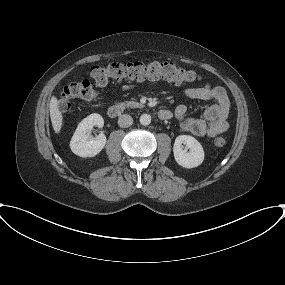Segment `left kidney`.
Listing matches in <instances>:
<instances>
[{
    "instance_id": "obj_1",
    "label": "left kidney",
    "mask_w": 285,
    "mask_h": 285,
    "mask_svg": "<svg viewBox=\"0 0 285 285\" xmlns=\"http://www.w3.org/2000/svg\"><path fill=\"white\" fill-rule=\"evenodd\" d=\"M183 144L185 149H183ZM189 149V151H187ZM173 153L176 162L184 168H194L202 164L204 150L202 145L190 135H179L175 139Z\"/></svg>"
}]
</instances>
